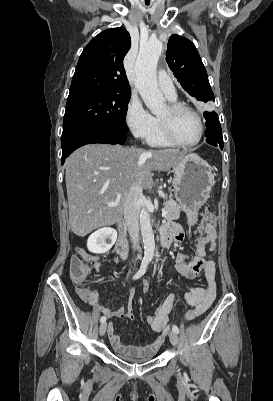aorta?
Returning a JSON list of instances; mask_svg holds the SVG:
<instances>
[{
  "label": "aorta",
  "instance_id": "1",
  "mask_svg": "<svg viewBox=\"0 0 273 401\" xmlns=\"http://www.w3.org/2000/svg\"><path fill=\"white\" fill-rule=\"evenodd\" d=\"M162 52V43L158 40L149 41L141 46L135 63V87L139 91L145 105L153 114H159L165 103V98L157 87V63ZM140 228L144 244V257L153 259L155 251L154 234L150 214L146 209L140 213Z\"/></svg>",
  "mask_w": 273,
  "mask_h": 401
}]
</instances>
